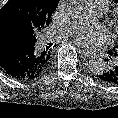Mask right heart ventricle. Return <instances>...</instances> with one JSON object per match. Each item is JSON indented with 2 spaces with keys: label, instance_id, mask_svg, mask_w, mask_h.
I'll return each instance as SVG.
<instances>
[{
  "label": "right heart ventricle",
  "instance_id": "e07e8e85",
  "mask_svg": "<svg viewBox=\"0 0 118 118\" xmlns=\"http://www.w3.org/2000/svg\"><path fill=\"white\" fill-rule=\"evenodd\" d=\"M103 1L105 2L106 6H107V5H108L109 0H103Z\"/></svg>",
  "mask_w": 118,
  "mask_h": 118
}]
</instances>
